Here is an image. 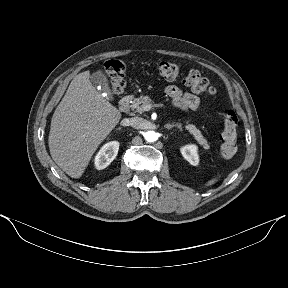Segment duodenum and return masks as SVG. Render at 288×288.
I'll list each match as a JSON object with an SVG mask.
<instances>
[{
	"mask_svg": "<svg viewBox=\"0 0 288 288\" xmlns=\"http://www.w3.org/2000/svg\"><path fill=\"white\" fill-rule=\"evenodd\" d=\"M130 102H131V96L129 95L124 96L119 103L120 110L124 113H127L129 111Z\"/></svg>",
	"mask_w": 288,
	"mask_h": 288,
	"instance_id": "1",
	"label": "duodenum"
}]
</instances>
